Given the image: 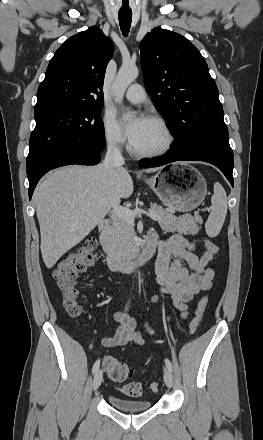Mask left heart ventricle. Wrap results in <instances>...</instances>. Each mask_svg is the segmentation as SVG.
Returning a JSON list of instances; mask_svg holds the SVG:
<instances>
[{
  "instance_id": "1",
  "label": "left heart ventricle",
  "mask_w": 263,
  "mask_h": 440,
  "mask_svg": "<svg viewBox=\"0 0 263 440\" xmlns=\"http://www.w3.org/2000/svg\"><path fill=\"white\" fill-rule=\"evenodd\" d=\"M165 141L163 130L156 123L147 120L133 146L141 151H151L162 147Z\"/></svg>"
}]
</instances>
